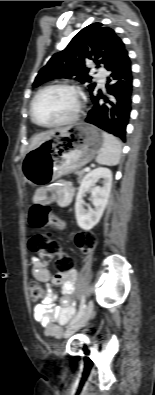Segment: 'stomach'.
<instances>
[{
  "instance_id": "1",
  "label": "stomach",
  "mask_w": 155,
  "mask_h": 395,
  "mask_svg": "<svg viewBox=\"0 0 155 395\" xmlns=\"http://www.w3.org/2000/svg\"><path fill=\"white\" fill-rule=\"evenodd\" d=\"M103 146V132L79 122L54 133L49 140L30 150L22 161L25 180L46 185L89 163Z\"/></svg>"
}]
</instances>
